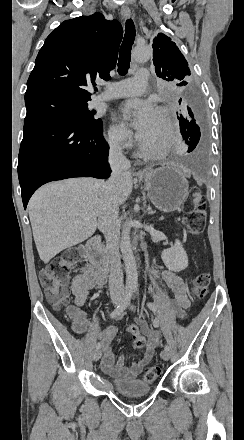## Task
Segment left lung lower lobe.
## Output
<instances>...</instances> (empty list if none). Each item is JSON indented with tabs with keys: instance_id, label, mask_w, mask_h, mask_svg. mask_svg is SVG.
I'll return each mask as SVG.
<instances>
[{
	"instance_id": "left-lung-lower-lobe-1",
	"label": "left lung lower lobe",
	"mask_w": 244,
	"mask_h": 440,
	"mask_svg": "<svg viewBox=\"0 0 244 440\" xmlns=\"http://www.w3.org/2000/svg\"><path fill=\"white\" fill-rule=\"evenodd\" d=\"M178 102L182 106V114L177 116L179 119L180 131L186 144L189 145L188 152H191L197 146L201 136L199 127L201 117L199 101L194 91L188 90Z\"/></svg>"
}]
</instances>
